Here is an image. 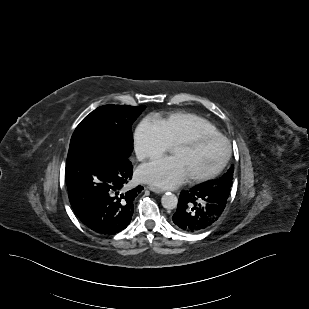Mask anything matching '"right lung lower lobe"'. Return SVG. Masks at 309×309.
<instances>
[{
    "label": "right lung lower lobe",
    "instance_id": "right-lung-lower-lobe-1",
    "mask_svg": "<svg viewBox=\"0 0 309 309\" xmlns=\"http://www.w3.org/2000/svg\"><path fill=\"white\" fill-rule=\"evenodd\" d=\"M133 166L110 143L86 140L69 148L65 179L71 206L91 230L113 235L130 223L142 186L127 189Z\"/></svg>",
    "mask_w": 309,
    "mask_h": 309
}]
</instances>
